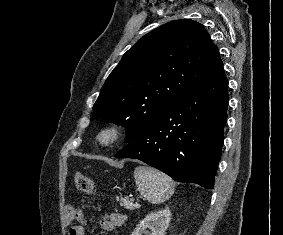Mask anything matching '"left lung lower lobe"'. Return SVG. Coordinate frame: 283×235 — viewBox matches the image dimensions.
Returning a JSON list of instances; mask_svg holds the SVG:
<instances>
[{"instance_id":"obj_1","label":"left lung lower lobe","mask_w":283,"mask_h":235,"mask_svg":"<svg viewBox=\"0 0 283 235\" xmlns=\"http://www.w3.org/2000/svg\"><path fill=\"white\" fill-rule=\"evenodd\" d=\"M228 101L222 67L175 101L115 157L139 159L175 181L212 189Z\"/></svg>"}]
</instances>
